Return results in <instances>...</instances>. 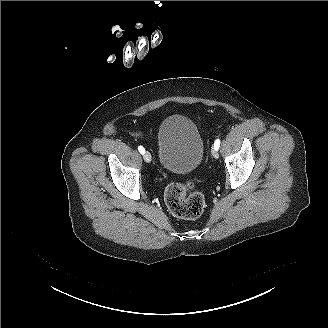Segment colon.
<instances>
[{"instance_id": "obj_1", "label": "colon", "mask_w": 328, "mask_h": 328, "mask_svg": "<svg viewBox=\"0 0 328 328\" xmlns=\"http://www.w3.org/2000/svg\"><path fill=\"white\" fill-rule=\"evenodd\" d=\"M198 180L175 182L165 190V203L168 210L177 218L194 220L199 218L205 209L204 195L194 190Z\"/></svg>"}]
</instances>
